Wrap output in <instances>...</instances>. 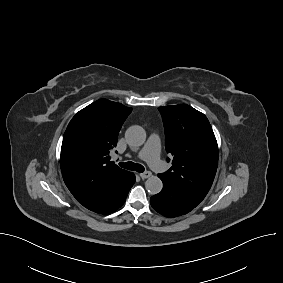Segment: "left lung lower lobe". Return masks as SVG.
Segmentation results:
<instances>
[{
  "mask_svg": "<svg viewBox=\"0 0 283 283\" xmlns=\"http://www.w3.org/2000/svg\"><path fill=\"white\" fill-rule=\"evenodd\" d=\"M160 193L151 197L152 207L166 217H177L190 212L197 205L190 202L178 189L163 181Z\"/></svg>",
  "mask_w": 283,
  "mask_h": 283,
  "instance_id": "left-lung-lower-lobe-1",
  "label": "left lung lower lobe"
}]
</instances>
